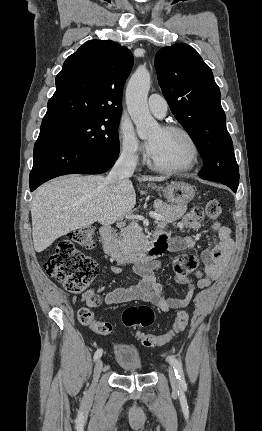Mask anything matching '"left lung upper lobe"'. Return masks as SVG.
I'll use <instances>...</instances> for the list:
<instances>
[{"label": "left lung upper lobe", "mask_w": 262, "mask_h": 431, "mask_svg": "<svg viewBox=\"0 0 262 431\" xmlns=\"http://www.w3.org/2000/svg\"><path fill=\"white\" fill-rule=\"evenodd\" d=\"M158 81L171 112L198 148L205 168L200 177L238 187L239 169L226 128L221 94L213 73L185 43L160 49L155 57Z\"/></svg>", "instance_id": "1"}]
</instances>
